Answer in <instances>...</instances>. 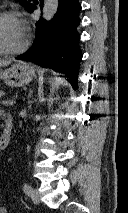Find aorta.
Here are the masks:
<instances>
[{
	"instance_id": "762f6f07",
	"label": "aorta",
	"mask_w": 128,
	"mask_h": 213,
	"mask_svg": "<svg viewBox=\"0 0 128 213\" xmlns=\"http://www.w3.org/2000/svg\"><path fill=\"white\" fill-rule=\"evenodd\" d=\"M59 6V0H44L43 17L45 20L53 19Z\"/></svg>"
}]
</instances>
